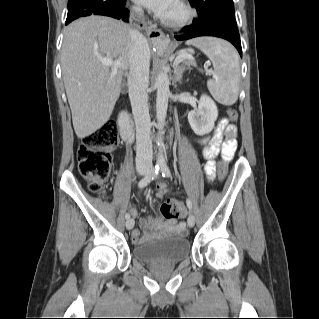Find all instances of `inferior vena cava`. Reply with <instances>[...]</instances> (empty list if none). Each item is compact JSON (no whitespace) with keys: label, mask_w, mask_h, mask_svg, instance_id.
<instances>
[{"label":"inferior vena cava","mask_w":319,"mask_h":319,"mask_svg":"<svg viewBox=\"0 0 319 319\" xmlns=\"http://www.w3.org/2000/svg\"><path fill=\"white\" fill-rule=\"evenodd\" d=\"M134 10L142 14L140 6L134 7ZM129 48L128 91L136 125V168L150 170L153 150L146 92L149 81L150 50L146 38L137 30H130Z\"/></svg>","instance_id":"inferior-vena-cava-1"}]
</instances>
